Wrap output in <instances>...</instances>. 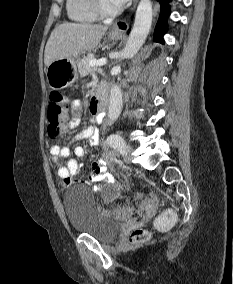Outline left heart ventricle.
<instances>
[{"label":"left heart ventricle","mask_w":233,"mask_h":284,"mask_svg":"<svg viewBox=\"0 0 233 284\" xmlns=\"http://www.w3.org/2000/svg\"><path fill=\"white\" fill-rule=\"evenodd\" d=\"M103 1H104L105 6H106L108 9H114V8L117 7V6L113 3L112 0H103Z\"/></svg>","instance_id":"obj_1"}]
</instances>
